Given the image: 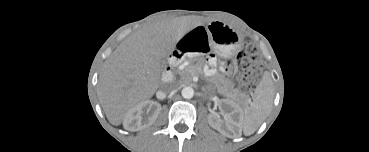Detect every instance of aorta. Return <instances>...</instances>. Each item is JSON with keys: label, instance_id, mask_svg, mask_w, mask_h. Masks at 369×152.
<instances>
[{"label": "aorta", "instance_id": "aorta-1", "mask_svg": "<svg viewBox=\"0 0 369 152\" xmlns=\"http://www.w3.org/2000/svg\"><path fill=\"white\" fill-rule=\"evenodd\" d=\"M181 95L185 99H191L194 96V89L192 87L186 86L182 89Z\"/></svg>", "mask_w": 369, "mask_h": 152}]
</instances>
